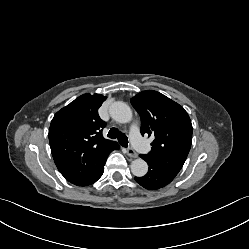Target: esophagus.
<instances>
[{"label": "esophagus", "instance_id": "esophagus-1", "mask_svg": "<svg viewBox=\"0 0 249 249\" xmlns=\"http://www.w3.org/2000/svg\"><path fill=\"white\" fill-rule=\"evenodd\" d=\"M126 153L131 158H137L138 157V154L136 153V151L131 147L126 150Z\"/></svg>", "mask_w": 249, "mask_h": 249}]
</instances>
